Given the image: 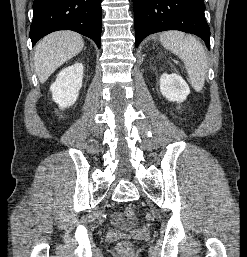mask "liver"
I'll return each mask as SVG.
<instances>
[{"label": "liver", "instance_id": "obj_1", "mask_svg": "<svg viewBox=\"0 0 247 257\" xmlns=\"http://www.w3.org/2000/svg\"><path fill=\"white\" fill-rule=\"evenodd\" d=\"M84 47L81 35L73 31H57L41 39L35 48V72L40 83L63 63L76 56Z\"/></svg>", "mask_w": 247, "mask_h": 257}]
</instances>
